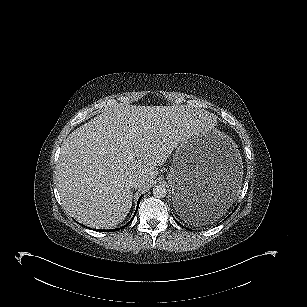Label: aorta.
<instances>
[{"label":"aorta","mask_w":307,"mask_h":307,"mask_svg":"<svg viewBox=\"0 0 307 307\" xmlns=\"http://www.w3.org/2000/svg\"><path fill=\"white\" fill-rule=\"evenodd\" d=\"M153 195L156 198H164L167 195V189L164 185H156L153 188Z\"/></svg>","instance_id":"1"}]
</instances>
